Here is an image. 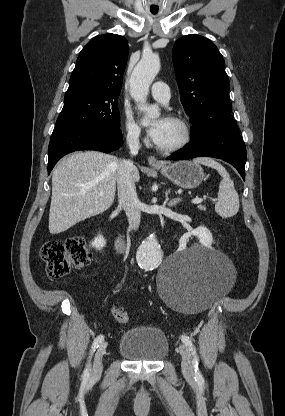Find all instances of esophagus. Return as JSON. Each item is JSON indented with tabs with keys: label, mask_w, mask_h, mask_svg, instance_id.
I'll return each instance as SVG.
<instances>
[{
	"label": "esophagus",
	"mask_w": 285,
	"mask_h": 416,
	"mask_svg": "<svg viewBox=\"0 0 285 416\" xmlns=\"http://www.w3.org/2000/svg\"><path fill=\"white\" fill-rule=\"evenodd\" d=\"M148 163L150 165L162 166V163L159 160H157V158L155 156H149L148 157Z\"/></svg>",
	"instance_id": "1"
}]
</instances>
